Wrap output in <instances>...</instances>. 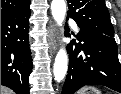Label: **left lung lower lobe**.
<instances>
[{
	"label": "left lung lower lobe",
	"instance_id": "left-lung-lower-lobe-1",
	"mask_svg": "<svg viewBox=\"0 0 121 94\" xmlns=\"http://www.w3.org/2000/svg\"><path fill=\"white\" fill-rule=\"evenodd\" d=\"M67 46L68 74L62 94H74L85 85H103L121 93V65L114 37L80 28ZM83 42V43H81Z\"/></svg>",
	"mask_w": 121,
	"mask_h": 94
}]
</instances>
